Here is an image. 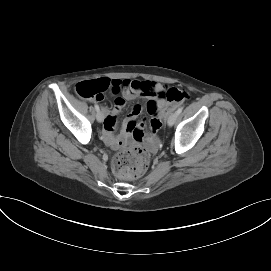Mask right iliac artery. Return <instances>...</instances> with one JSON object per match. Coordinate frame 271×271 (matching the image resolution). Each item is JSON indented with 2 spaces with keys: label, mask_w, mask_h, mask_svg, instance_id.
<instances>
[{
  "label": "right iliac artery",
  "mask_w": 271,
  "mask_h": 271,
  "mask_svg": "<svg viewBox=\"0 0 271 271\" xmlns=\"http://www.w3.org/2000/svg\"><path fill=\"white\" fill-rule=\"evenodd\" d=\"M95 109L96 111H99V106L97 104H95Z\"/></svg>",
  "instance_id": "right-iliac-artery-1"
}]
</instances>
